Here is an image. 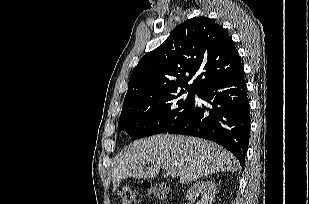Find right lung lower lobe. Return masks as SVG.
<instances>
[{
  "instance_id": "98d812e1",
  "label": "right lung lower lobe",
  "mask_w": 309,
  "mask_h": 204,
  "mask_svg": "<svg viewBox=\"0 0 309 204\" xmlns=\"http://www.w3.org/2000/svg\"><path fill=\"white\" fill-rule=\"evenodd\" d=\"M197 95L212 108L193 106L167 132L212 140L232 152L244 167L250 133V106L243 67L210 83Z\"/></svg>"
}]
</instances>
